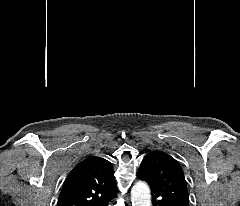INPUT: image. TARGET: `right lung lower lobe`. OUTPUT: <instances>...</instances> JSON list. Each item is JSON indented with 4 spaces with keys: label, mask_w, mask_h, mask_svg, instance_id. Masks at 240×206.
<instances>
[{
    "label": "right lung lower lobe",
    "mask_w": 240,
    "mask_h": 206,
    "mask_svg": "<svg viewBox=\"0 0 240 206\" xmlns=\"http://www.w3.org/2000/svg\"><path fill=\"white\" fill-rule=\"evenodd\" d=\"M116 194L104 199L103 201H101L99 204H97V206H107L109 201L113 199V197H115Z\"/></svg>",
    "instance_id": "1"
}]
</instances>
